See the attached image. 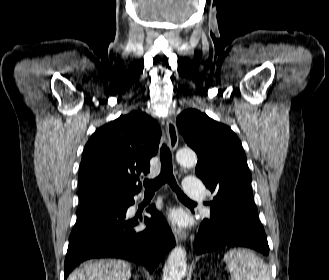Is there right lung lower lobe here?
<instances>
[{
  "label": "right lung lower lobe",
  "mask_w": 329,
  "mask_h": 280,
  "mask_svg": "<svg viewBox=\"0 0 329 280\" xmlns=\"http://www.w3.org/2000/svg\"><path fill=\"white\" fill-rule=\"evenodd\" d=\"M136 193L105 197L79 212L69 237L65 279L76 266L91 258H122L142 264L153 272L165 253L175 245V240L154 206L147 209L152 218H144L147 229H134L138 221L128 219L126 211L134 203Z\"/></svg>",
  "instance_id": "obj_1"
}]
</instances>
